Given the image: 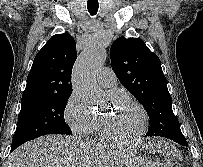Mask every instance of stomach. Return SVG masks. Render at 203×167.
Masks as SVG:
<instances>
[{"mask_svg": "<svg viewBox=\"0 0 203 167\" xmlns=\"http://www.w3.org/2000/svg\"><path fill=\"white\" fill-rule=\"evenodd\" d=\"M124 167H155L154 164L146 157H134L132 161Z\"/></svg>", "mask_w": 203, "mask_h": 167, "instance_id": "stomach-1", "label": "stomach"}]
</instances>
